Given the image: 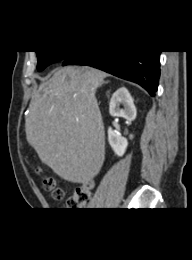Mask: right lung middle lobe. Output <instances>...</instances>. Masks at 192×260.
Segmentation results:
<instances>
[{
	"instance_id": "1",
	"label": "right lung middle lobe",
	"mask_w": 192,
	"mask_h": 260,
	"mask_svg": "<svg viewBox=\"0 0 192 260\" xmlns=\"http://www.w3.org/2000/svg\"><path fill=\"white\" fill-rule=\"evenodd\" d=\"M38 57L37 69L42 71L48 65L64 60L71 52L69 51H36Z\"/></svg>"
}]
</instances>
